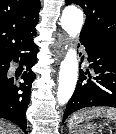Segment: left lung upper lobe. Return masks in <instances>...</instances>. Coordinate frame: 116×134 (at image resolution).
<instances>
[{
    "mask_svg": "<svg viewBox=\"0 0 116 134\" xmlns=\"http://www.w3.org/2000/svg\"><path fill=\"white\" fill-rule=\"evenodd\" d=\"M82 7L86 20L80 40L92 38L116 45V0H65Z\"/></svg>",
    "mask_w": 116,
    "mask_h": 134,
    "instance_id": "5c2ea615",
    "label": "left lung upper lobe"
}]
</instances>
